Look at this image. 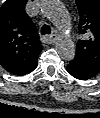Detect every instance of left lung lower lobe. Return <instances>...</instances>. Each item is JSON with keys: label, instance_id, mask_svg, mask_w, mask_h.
Returning a JSON list of instances; mask_svg holds the SVG:
<instances>
[{"label": "left lung lower lobe", "instance_id": "left-lung-lower-lobe-1", "mask_svg": "<svg viewBox=\"0 0 100 118\" xmlns=\"http://www.w3.org/2000/svg\"><path fill=\"white\" fill-rule=\"evenodd\" d=\"M67 71L75 78L80 80H87L95 77L98 74V71L87 67L75 60L70 61L67 66Z\"/></svg>", "mask_w": 100, "mask_h": 118}]
</instances>
